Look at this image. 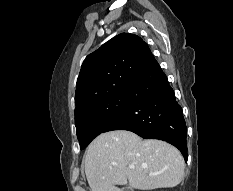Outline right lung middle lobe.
I'll return each instance as SVG.
<instances>
[{"label": "right lung middle lobe", "instance_id": "obj_1", "mask_svg": "<svg viewBox=\"0 0 233 191\" xmlns=\"http://www.w3.org/2000/svg\"><path fill=\"white\" fill-rule=\"evenodd\" d=\"M128 101V93H122L75 113V126L81 150L127 107Z\"/></svg>", "mask_w": 233, "mask_h": 191}]
</instances>
